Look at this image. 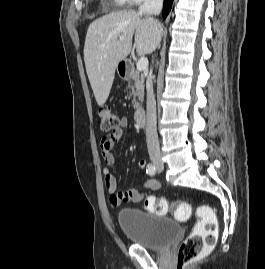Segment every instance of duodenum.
<instances>
[{
	"label": "duodenum",
	"instance_id": "410a0bca",
	"mask_svg": "<svg viewBox=\"0 0 265 269\" xmlns=\"http://www.w3.org/2000/svg\"><path fill=\"white\" fill-rule=\"evenodd\" d=\"M132 74V68L130 66V63H127V64H123L122 67H121V75L122 77L124 78H128L130 77ZM134 119H135V122L138 124V125H144L145 124V120H146V111L144 108H139L135 111V114H134Z\"/></svg>",
	"mask_w": 265,
	"mask_h": 269
}]
</instances>
